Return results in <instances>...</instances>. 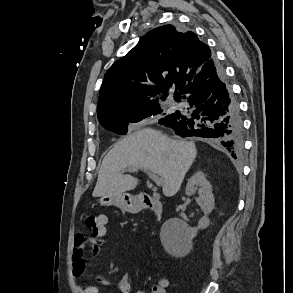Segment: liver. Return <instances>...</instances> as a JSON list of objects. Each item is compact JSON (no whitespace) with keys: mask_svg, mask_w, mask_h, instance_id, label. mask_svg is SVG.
I'll list each match as a JSON object with an SVG mask.
<instances>
[{"mask_svg":"<svg viewBox=\"0 0 293 293\" xmlns=\"http://www.w3.org/2000/svg\"><path fill=\"white\" fill-rule=\"evenodd\" d=\"M197 155L194 142L172 140L153 129L132 133L104 157L93 197L114 196L134 190L138 179L124 175L123 170L135 167L149 170L163 180V194L174 196Z\"/></svg>","mask_w":293,"mask_h":293,"instance_id":"1","label":"liver"}]
</instances>
